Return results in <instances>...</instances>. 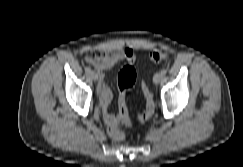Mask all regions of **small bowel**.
<instances>
[{"mask_svg": "<svg viewBox=\"0 0 243 167\" xmlns=\"http://www.w3.org/2000/svg\"><path fill=\"white\" fill-rule=\"evenodd\" d=\"M87 62L96 70L99 82L97 85V93L100 99L102 115L105 123L109 126L111 123L118 121L121 100L125 99V94L119 93L118 97V114H114L109 110V105L113 96L112 90L105 83V70L111 69L118 62L126 60L129 64H133L136 60L135 52L130 48L118 49L113 52H93L87 58Z\"/></svg>", "mask_w": 243, "mask_h": 167, "instance_id": "small-bowel-1", "label": "small bowel"}]
</instances>
